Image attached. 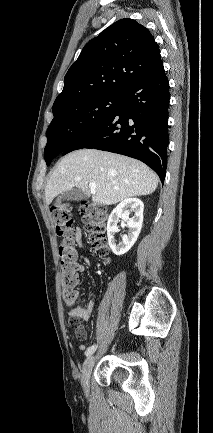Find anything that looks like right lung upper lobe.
Returning a JSON list of instances; mask_svg holds the SVG:
<instances>
[{
	"instance_id": "1",
	"label": "right lung upper lobe",
	"mask_w": 213,
	"mask_h": 433,
	"mask_svg": "<svg viewBox=\"0 0 213 433\" xmlns=\"http://www.w3.org/2000/svg\"><path fill=\"white\" fill-rule=\"evenodd\" d=\"M158 58L159 47L146 27L118 20L84 46L64 77L53 112L98 95H122Z\"/></svg>"
}]
</instances>
